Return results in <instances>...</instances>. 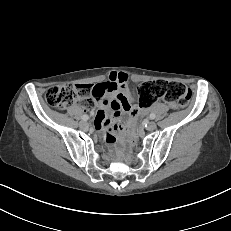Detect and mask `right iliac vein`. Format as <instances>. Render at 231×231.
I'll return each mask as SVG.
<instances>
[{
	"label": "right iliac vein",
	"mask_w": 231,
	"mask_h": 231,
	"mask_svg": "<svg viewBox=\"0 0 231 231\" xmlns=\"http://www.w3.org/2000/svg\"><path fill=\"white\" fill-rule=\"evenodd\" d=\"M79 126H80V128H82V129H86V128L89 127V124H88V122H86V121H81L80 124H79Z\"/></svg>",
	"instance_id": "right-iliac-vein-1"
}]
</instances>
